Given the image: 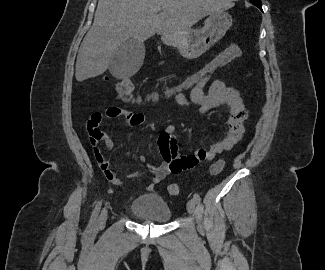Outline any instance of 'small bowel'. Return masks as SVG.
I'll return each mask as SVG.
<instances>
[{
    "instance_id": "1",
    "label": "small bowel",
    "mask_w": 325,
    "mask_h": 270,
    "mask_svg": "<svg viewBox=\"0 0 325 270\" xmlns=\"http://www.w3.org/2000/svg\"><path fill=\"white\" fill-rule=\"evenodd\" d=\"M213 75H211L212 78ZM210 78V79H211ZM205 79L201 87L196 90H191L189 96L182 93L181 96H174L176 103L187 108L191 103L201 107L202 112H207L210 109L217 107H225L229 110V118L227 120V133L225 137L212 145L210 149H200L194 154L178 156L179 146L176 140L174 125H168L158 136V148L163 162L160 165L148 164L147 169L152 173L151 182L147 185V191H153L167 175L170 173H179L186 169L195 167L200 161L213 160L218 154L233 148L236 142L241 138L244 131V122L246 120V110L242 102L239 92L226 86L220 79H214L211 82L208 92L204 91L205 85L210 81ZM178 87V85H177ZM169 89H173L172 87ZM154 96V95H145ZM104 115L110 119H117L124 117L127 125L131 127H140L145 122V117L142 113L131 112L121 109L116 106L107 108ZM103 115L101 113H93L90 117L91 120H98L97 124L100 125ZM105 149L110 150L113 143L110 139L104 138ZM95 158L99 167L104 171L108 179L115 185L120 186L121 182L117 179L113 171L109 167V163L103 156L101 151L95 147ZM141 162L146 161L145 155H140ZM138 173H133L130 177H138Z\"/></svg>"
}]
</instances>
